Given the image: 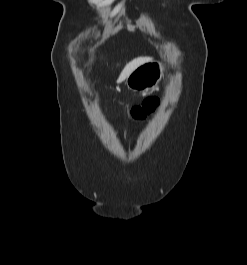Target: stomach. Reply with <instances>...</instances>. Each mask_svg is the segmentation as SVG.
<instances>
[{
	"label": "stomach",
	"mask_w": 247,
	"mask_h": 265,
	"mask_svg": "<svg viewBox=\"0 0 247 265\" xmlns=\"http://www.w3.org/2000/svg\"><path fill=\"white\" fill-rule=\"evenodd\" d=\"M164 66L159 61H149L135 69L125 81L128 89L147 92L154 89L164 76Z\"/></svg>",
	"instance_id": "0dacf381"
}]
</instances>
